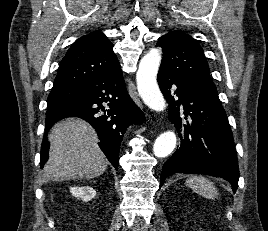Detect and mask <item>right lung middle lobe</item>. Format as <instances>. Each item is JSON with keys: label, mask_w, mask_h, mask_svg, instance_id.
<instances>
[{"label": "right lung middle lobe", "mask_w": 268, "mask_h": 231, "mask_svg": "<svg viewBox=\"0 0 268 231\" xmlns=\"http://www.w3.org/2000/svg\"><path fill=\"white\" fill-rule=\"evenodd\" d=\"M81 94L80 88L65 87L53 88L47 99V106L59 105L61 103L74 100Z\"/></svg>", "instance_id": "1"}]
</instances>
